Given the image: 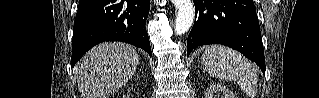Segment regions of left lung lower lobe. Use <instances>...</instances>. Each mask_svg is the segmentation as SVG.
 <instances>
[{
	"label": "left lung lower lobe",
	"mask_w": 319,
	"mask_h": 98,
	"mask_svg": "<svg viewBox=\"0 0 319 98\" xmlns=\"http://www.w3.org/2000/svg\"><path fill=\"white\" fill-rule=\"evenodd\" d=\"M193 1L196 13L187 39V55L198 46L223 44L256 62L265 74L263 44L253 1Z\"/></svg>",
	"instance_id": "obj_1"
}]
</instances>
